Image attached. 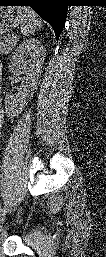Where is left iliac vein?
<instances>
[{"mask_svg":"<svg viewBox=\"0 0 106 257\" xmlns=\"http://www.w3.org/2000/svg\"><path fill=\"white\" fill-rule=\"evenodd\" d=\"M5 211H1L0 214V221L2 222L4 220Z\"/></svg>","mask_w":106,"mask_h":257,"instance_id":"left-iliac-vein-1","label":"left iliac vein"}]
</instances>
